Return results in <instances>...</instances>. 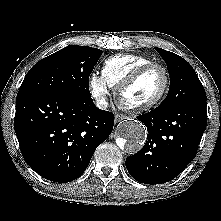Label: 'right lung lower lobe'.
Wrapping results in <instances>:
<instances>
[{"mask_svg":"<svg viewBox=\"0 0 221 221\" xmlns=\"http://www.w3.org/2000/svg\"><path fill=\"white\" fill-rule=\"evenodd\" d=\"M113 124V113L97 108L92 98L34 90L17 94L14 128L22 155L51 181L78 178Z\"/></svg>","mask_w":221,"mask_h":221,"instance_id":"obj_1","label":"right lung lower lobe"}]
</instances>
